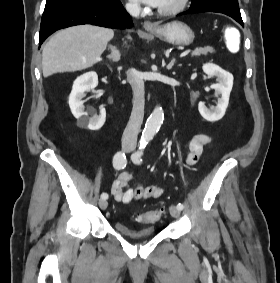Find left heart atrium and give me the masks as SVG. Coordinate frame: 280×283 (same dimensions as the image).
Instances as JSON below:
<instances>
[{
    "mask_svg": "<svg viewBox=\"0 0 280 283\" xmlns=\"http://www.w3.org/2000/svg\"><path fill=\"white\" fill-rule=\"evenodd\" d=\"M134 1H139L153 7H159L163 2V0H134Z\"/></svg>",
    "mask_w": 280,
    "mask_h": 283,
    "instance_id": "1",
    "label": "left heart atrium"
}]
</instances>
